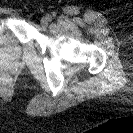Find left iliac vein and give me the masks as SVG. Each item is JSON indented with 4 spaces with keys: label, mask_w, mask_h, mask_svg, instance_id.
Listing matches in <instances>:
<instances>
[{
    "label": "left iliac vein",
    "mask_w": 133,
    "mask_h": 133,
    "mask_svg": "<svg viewBox=\"0 0 133 133\" xmlns=\"http://www.w3.org/2000/svg\"><path fill=\"white\" fill-rule=\"evenodd\" d=\"M50 21H51V16L48 15V16L43 17V18L41 19V24H42L43 26H47L48 23H49Z\"/></svg>",
    "instance_id": "4c4485c4"
}]
</instances>
